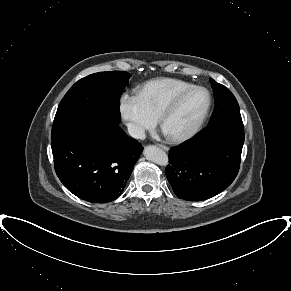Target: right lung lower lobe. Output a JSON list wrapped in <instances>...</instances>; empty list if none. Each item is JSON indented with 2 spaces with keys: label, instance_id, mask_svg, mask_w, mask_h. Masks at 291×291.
Instances as JSON below:
<instances>
[{
  "label": "right lung lower lobe",
  "instance_id": "right-lung-lower-lobe-1",
  "mask_svg": "<svg viewBox=\"0 0 291 291\" xmlns=\"http://www.w3.org/2000/svg\"><path fill=\"white\" fill-rule=\"evenodd\" d=\"M51 147L63 185L79 198L99 203L122 194L143 150L118 124L103 122L71 128Z\"/></svg>",
  "mask_w": 291,
  "mask_h": 291
}]
</instances>
